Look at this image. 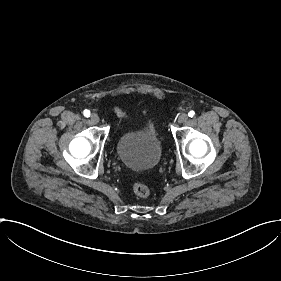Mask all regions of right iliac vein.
Wrapping results in <instances>:
<instances>
[{
  "instance_id": "63e3f726",
  "label": "right iliac vein",
  "mask_w": 281,
  "mask_h": 281,
  "mask_svg": "<svg viewBox=\"0 0 281 281\" xmlns=\"http://www.w3.org/2000/svg\"><path fill=\"white\" fill-rule=\"evenodd\" d=\"M90 118H91L92 123L95 124V125L98 124L99 121H100L98 115L95 114V113L92 114Z\"/></svg>"
}]
</instances>
